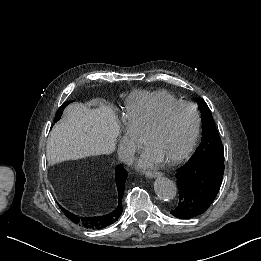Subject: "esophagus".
I'll return each mask as SVG.
<instances>
[{"label": "esophagus", "instance_id": "34e87169", "mask_svg": "<svg viewBox=\"0 0 261 261\" xmlns=\"http://www.w3.org/2000/svg\"><path fill=\"white\" fill-rule=\"evenodd\" d=\"M145 175H146L147 177H149V178H154V177H157V176H161L162 173L159 172V171H147V172L145 173Z\"/></svg>", "mask_w": 261, "mask_h": 261}]
</instances>
